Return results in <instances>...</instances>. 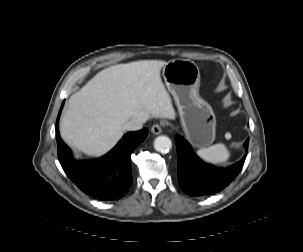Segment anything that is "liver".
<instances>
[{"instance_id":"obj_1","label":"liver","mask_w":303,"mask_h":252,"mask_svg":"<svg viewBox=\"0 0 303 252\" xmlns=\"http://www.w3.org/2000/svg\"><path fill=\"white\" fill-rule=\"evenodd\" d=\"M161 60H142L97 73L68 102L60 122L62 138L90 156L108 152L133 119L173 118L176 113L161 77Z\"/></svg>"}]
</instances>
